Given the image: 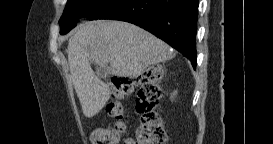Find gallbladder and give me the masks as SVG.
<instances>
[{"label":"gallbladder","mask_w":273,"mask_h":144,"mask_svg":"<svg viewBox=\"0 0 273 144\" xmlns=\"http://www.w3.org/2000/svg\"><path fill=\"white\" fill-rule=\"evenodd\" d=\"M97 72L100 73L99 75V79L100 80H108V76L111 75V72L109 70V68L107 67V65H98L97 66Z\"/></svg>","instance_id":"gallbladder-1"}]
</instances>
